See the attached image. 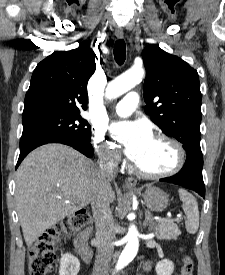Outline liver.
I'll list each match as a JSON object with an SVG mask.
<instances>
[{"mask_svg":"<svg viewBox=\"0 0 225 275\" xmlns=\"http://www.w3.org/2000/svg\"><path fill=\"white\" fill-rule=\"evenodd\" d=\"M100 189L99 168L75 149L46 144L32 151L16 172L15 201L26 245L92 203ZM107 196L114 201L111 186Z\"/></svg>","mask_w":225,"mask_h":275,"instance_id":"liver-1","label":"liver"}]
</instances>
